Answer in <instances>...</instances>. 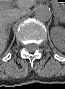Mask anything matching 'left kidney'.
<instances>
[{"label":"left kidney","mask_w":65,"mask_h":89,"mask_svg":"<svg viewBox=\"0 0 65 89\" xmlns=\"http://www.w3.org/2000/svg\"><path fill=\"white\" fill-rule=\"evenodd\" d=\"M53 42L59 50H65V30L63 28L57 29V35L53 37Z\"/></svg>","instance_id":"1"}]
</instances>
